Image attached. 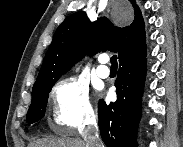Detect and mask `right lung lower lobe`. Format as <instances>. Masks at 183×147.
<instances>
[{
    "mask_svg": "<svg viewBox=\"0 0 183 147\" xmlns=\"http://www.w3.org/2000/svg\"><path fill=\"white\" fill-rule=\"evenodd\" d=\"M117 101L98 104L99 128L107 147H135L146 77V49L119 61Z\"/></svg>",
    "mask_w": 183,
    "mask_h": 147,
    "instance_id": "98d812e1",
    "label": "right lung lower lobe"
}]
</instances>
